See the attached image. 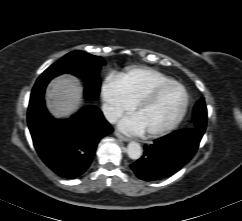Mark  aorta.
<instances>
[{
    "mask_svg": "<svg viewBox=\"0 0 242 221\" xmlns=\"http://www.w3.org/2000/svg\"><path fill=\"white\" fill-rule=\"evenodd\" d=\"M142 147L138 142L132 141L127 146V154L129 158L137 160L142 156Z\"/></svg>",
    "mask_w": 242,
    "mask_h": 221,
    "instance_id": "1",
    "label": "aorta"
}]
</instances>
